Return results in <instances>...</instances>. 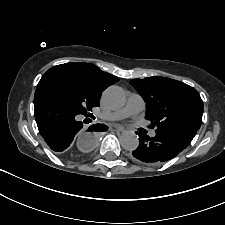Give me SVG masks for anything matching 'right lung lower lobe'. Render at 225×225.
<instances>
[{
  "label": "right lung lower lobe",
  "mask_w": 225,
  "mask_h": 225,
  "mask_svg": "<svg viewBox=\"0 0 225 225\" xmlns=\"http://www.w3.org/2000/svg\"><path fill=\"white\" fill-rule=\"evenodd\" d=\"M34 111L38 130L48 146L65 158L78 159L79 154L75 153L73 145L82 132L83 124L78 121L80 114L55 98L38 91L34 96ZM107 128L103 124H96L90 126L87 131H105ZM86 136L90 138L91 143L84 148V152H88L95 142V133H88Z\"/></svg>",
  "instance_id": "1"
}]
</instances>
